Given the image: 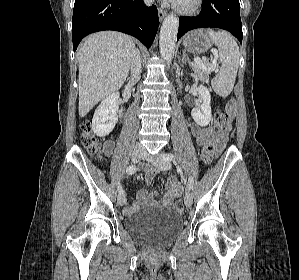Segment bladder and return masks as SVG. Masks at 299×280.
I'll list each match as a JSON object with an SVG mask.
<instances>
[{
	"instance_id": "obj_1",
	"label": "bladder",
	"mask_w": 299,
	"mask_h": 280,
	"mask_svg": "<svg viewBox=\"0 0 299 280\" xmlns=\"http://www.w3.org/2000/svg\"><path fill=\"white\" fill-rule=\"evenodd\" d=\"M125 226L141 243L154 248L168 245L182 226V217L171 208H148L130 216Z\"/></svg>"
}]
</instances>
